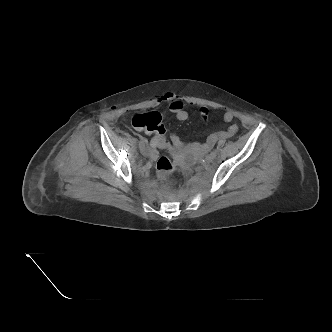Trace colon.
Segmentation results:
<instances>
[{"mask_svg":"<svg viewBox=\"0 0 332 332\" xmlns=\"http://www.w3.org/2000/svg\"><path fill=\"white\" fill-rule=\"evenodd\" d=\"M133 126L154 135L160 148L170 151V143L165 138V127L161 115L156 111L136 114L132 119ZM156 173L162 181L171 182L174 179L175 165L173 161L162 156L156 162Z\"/></svg>","mask_w":332,"mask_h":332,"instance_id":"colon-1","label":"colon"}]
</instances>
